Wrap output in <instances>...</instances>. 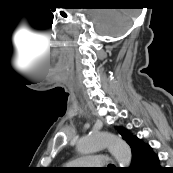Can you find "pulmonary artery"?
<instances>
[{
    "mask_svg": "<svg viewBox=\"0 0 173 173\" xmlns=\"http://www.w3.org/2000/svg\"><path fill=\"white\" fill-rule=\"evenodd\" d=\"M71 165L83 168H99L108 165V159L103 155H94L78 158Z\"/></svg>",
    "mask_w": 173,
    "mask_h": 173,
    "instance_id": "1",
    "label": "pulmonary artery"
}]
</instances>
